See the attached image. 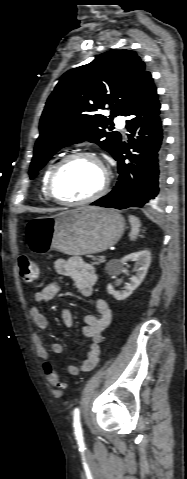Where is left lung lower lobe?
<instances>
[{"instance_id":"left-lung-lower-lobe-1","label":"left lung lower lobe","mask_w":187,"mask_h":479,"mask_svg":"<svg viewBox=\"0 0 187 479\" xmlns=\"http://www.w3.org/2000/svg\"><path fill=\"white\" fill-rule=\"evenodd\" d=\"M124 116L129 117L128 144L135 154L130 156L121 144L115 159L119 178L116 186L106 196L91 205L126 209L155 205L165 192V153L160 103L152 76L144 79L140 93ZM131 163L126 164V157Z\"/></svg>"}]
</instances>
